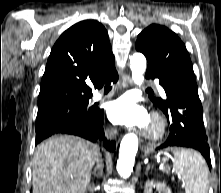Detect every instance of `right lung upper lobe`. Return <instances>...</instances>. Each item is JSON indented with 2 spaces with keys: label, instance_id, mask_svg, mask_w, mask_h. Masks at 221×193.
<instances>
[{
  "label": "right lung upper lobe",
  "instance_id": "cb5924a9",
  "mask_svg": "<svg viewBox=\"0 0 221 193\" xmlns=\"http://www.w3.org/2000/svg\"><path fill=\"white\" fill-rule=\"evenodd\" d=\"M115 72L106 29L95 20L81 21L66 30L52 48L38 103L55 99H90L89 84L100 88Z\"/></svg>",
  "mask_w": 221,
  "mask_h": 193
}]
</instances>
